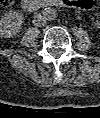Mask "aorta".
<instances>
[{
  "label": "aorta",
  "instance_id": "1",
  "mask_svg": "<svg viewBox=\"0 0 100 118\" xmlns=\"http://www.w3.org/2000/svg\"><path fill=\"white\" fill-rule=\"evenodd\" d=\"M42 15L48 21H52L57 17V12L54 8L47 7L42 11Z\"/></svg>",
  "mask_w": 100,
  "mask_h": 118
}]
</instances>
